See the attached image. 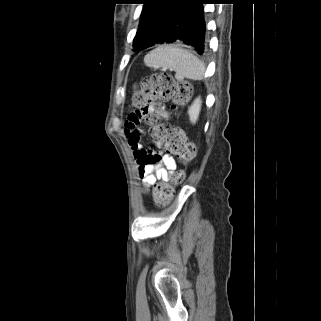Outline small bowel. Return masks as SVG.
Segmentation results:
<instances>
[{
	"label": "small bowel",
	"instance_id": "obj_1",
	"mask_svg": "<svg viewBox=\"0 0 321 321\" xmlns=\"http://www.w3.org/2000/svg\"><path fill=\"white\" fill-rule=\"evenodd\" d=\"M156 118H169L165 107L159 103L130 113L125 122V136L137 162L139 175L147 187L158 180L167 181L169 174L176 169L174 158L169 154H162L157 141L156 148L153 149H147L141 142L144 133L142 122L152 125L149 132L153 137V121Z\"/></svg>",
	"mask_w": 321,
	"mask_h": 321
}]
</instances>
